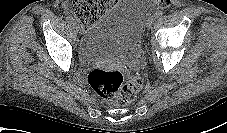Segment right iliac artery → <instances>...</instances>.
<instances>
[{
    "instance_id": "obj_1",
    "label": "right iliac artery",
    "mask_w": 227,
    "mask_h": 133,
    "mask_svg": "<svg viewBox=\"0 0 227 133\" xmlns=\"http://www.w3.org/2000/svg\"><path fill=\"white\" fill-rule=\"evenodd\" d=\"M66 20H67L69 23L74 22V19H73L72 16H67V17H66Z\"/></svg>"
}]
</instances>
